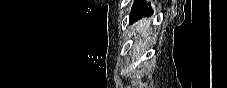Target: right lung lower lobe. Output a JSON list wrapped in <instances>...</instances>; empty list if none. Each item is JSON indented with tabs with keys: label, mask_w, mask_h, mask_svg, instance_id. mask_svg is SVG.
Listing matches in <instances>:
<instances>
[{
	"label": "right lung lower lobe",
	"mask_w": 227,
	"mask_h": 88,
	"mask_svg": "<svg viewBox=\"0 0 227 88\" xmlns=\"http://www.w3.org/2000/svg\"><path fill=\"white\" fill-rule=\"evenodd\" d=\"M142 0H136L130 14V22L133 23L143 16L152 14V8Z\"/></svg>",
	"instance_id": "right-lung-lower-lobe-1"
}]
</instances>
